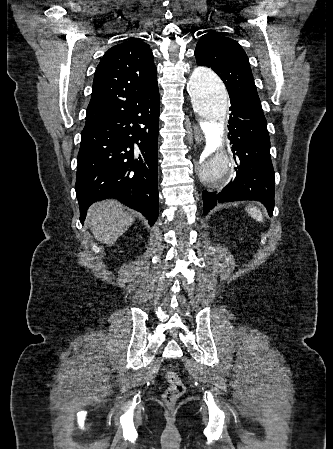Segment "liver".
I'll return each mask as SVG.
<instances>
[{
	"label": "liver",
	"instance_id": "liver-1",
	"mask_svg": "<svg viewBox=\"0 0 333 449\" xmlns=\"http://www.w3.org/2000/svg\"><path fill=\"white\" fill-rule=\"evenodd\" d=\"M134 222L125 207L116 200L93 204L88 211L87 223L94 237L111 246Z\"/></svg>",
	"mask_w": 333,
	"mask_h": 449
}]
</instances>
